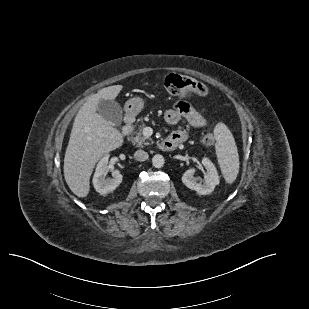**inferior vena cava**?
<instances>
[{
  "mask_svg": "<svg viewBox=\"0 0 309 309\" xmlns=\"http://www.w3.org/2000/svg\"><path fill=\"white\" fill-rule=\"evenodd\" d=\"M149 157L148 153L145 152L144 150H137L135 153H134V158L137 160V161H145L147 160Z\"/></svg>",
  "mask_w": 309,
  "mask_h": 309,
  "instance_id": "1",
  "label": "inferior vena cava"
}]
</instances>
